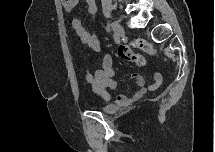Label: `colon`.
<instances>
[{
  "label": "colon",
  "mask_w": 215,
  "mask_h": 152,
  "mask_svg": "<svg viewBox=\"0 0 215 152\" xmlns=\"http://www.w3.org/2000/svg\"><path fill=\"white\" fill-rule=\"evenodd\" d=\"M63 4L65 10L67 12H71L77 6V0H64ZM131 47L139 48L151 55H157L156 49L143 39H135L130 44H120L118 46L119 55L126 60L136 63L139 66H144L146 64V60L142 55L133 52Z\"/></svg>",
  "instance_id": "obj_1"
}]
</instances>
